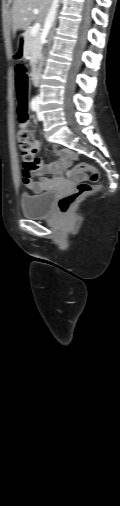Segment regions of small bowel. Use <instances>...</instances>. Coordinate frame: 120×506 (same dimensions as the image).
<instances>
[{
	"mask_svg": "<svg viewBox=\"0 0 120 506\" xmlns=\"http://www.w3.org/2000/svg\"><path fill=\"white\" fill-rule=\"evenodd\" d=\"M25 127L26 124L21 125ZM39 147V142H37ZM56 154L58 155V160L44 163L42 160L38 159L39 165L34 171H24V184L26 187L33 192H41L48 185L47 174L53 175L55 179H61V173L64 169L69 168L72 165V160L74 157V153L72 150L68 148H59L56 150ZM39 177V180H36L35 177ZM84 174L77 173L73 177L74 181H79L84 179Z\"/></svg>",
	"mask_w": 120,
	"mask_h": 506,
	"instance_id": "c3829d8e",
	"label": "small bowel"
}]
</instances>
